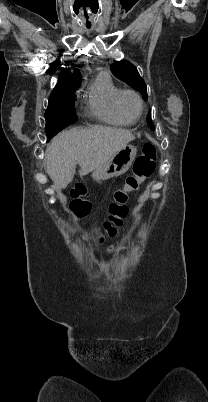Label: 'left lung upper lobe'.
<instances>
[{
    "label": "left lung upper lobe",
    "instance_id": "5c2ea615",
    "mask_svg": "<svg viewBox=\"0 0 208 402\" xmlns=\"http://www.w3.org/2000/svg\"><path fill=\"white\" fill-rule=\"evenodd\" d=\"M111 71L117 78L139 91L144 99L148 98L147 87L144 80L140 77L136 67L129 61L125 60L112 64ZM149 123L152 126V129H154L151 119L149 120Z\"/></svg>",
    "mask_w": 208,
    "mask_h": 402
}]
</instances>
